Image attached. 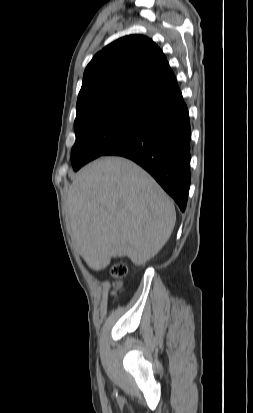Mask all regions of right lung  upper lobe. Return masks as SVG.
<instances>
[{
	"instance_id": "1",
	"label": "right lung upper lobe",
	"mask_w": 253,
	"mask_h": 413,
	"mask_svg": "<svg viewBox=\"0 0 253 413\" xmlns=\"http://www.w3.org/2000/svg\"><path fill=\"white\" fill-rule=\"evenodd\" d=\"M182 102L175 75L160 48L145 36L129 35L106 46L87 65L76 118L112 107L154 114Z\"/></svg>"
}]
</instances>
